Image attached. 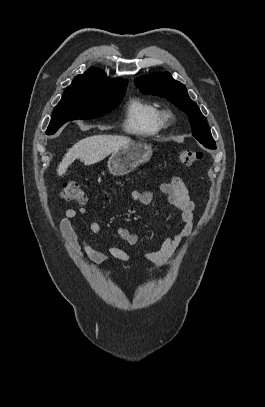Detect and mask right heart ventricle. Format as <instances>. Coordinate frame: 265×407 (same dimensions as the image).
<instances>
[{
  "instance_id": "right-heart-ventricle-1",
  "label": "right heart ventricle",
  "mask_w": 265,
  "mask_h": 407,
  "mask_svg": "<svg viewBox=\"0 0 265 407\" xmlns=\"http://www.w3.org/2000/svg\"><path fill=\"white\" fill-rule=\"evenodd\" d=\"M124 126L136 136L156 135L163 128L160 110L150 102L133 98L126 107Z\"/></svg>"
}]
</instances>
